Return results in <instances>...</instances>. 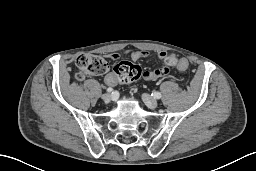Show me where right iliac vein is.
Masks as SVG:
<instances>
[{"instance_id":"1","label":"right iliac vein","mask_w":256,"mask_h":171,"mask_svg":"<svg viewBox=\"0 0 256 171\" xmlns=\"http://www.w3.org/2000/svg\"><path fill=\"white\" fill-rule=\"evenodd\" d=\"M101 98L105 103H108L111 100V95L109 93H105Z\"/></svg>"}]
</instances>
